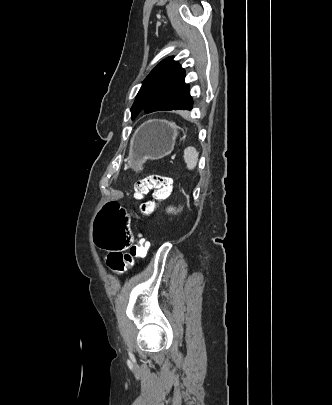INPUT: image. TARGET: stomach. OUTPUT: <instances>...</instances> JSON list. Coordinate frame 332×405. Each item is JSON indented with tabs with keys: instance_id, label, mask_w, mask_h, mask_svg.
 <instances>
[{
	"instance_id": "1",
	"label": "stomach",
	"mask_w": 332,
	"mask_h": 405,
	"mask_svg": "<svg viewBox=\"0 0 332 405\" xmlns=\"http://www.w3.org/2000/svg\"><path fill=\"white\" fill-rule=\"evenodd\" d=\"M176 136L175 124L162 120L145 122L131 140L128 167L140 171L146 160H158L171 154Z\"/></svg>"
}]
</instances>
